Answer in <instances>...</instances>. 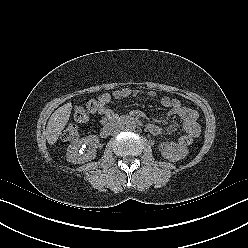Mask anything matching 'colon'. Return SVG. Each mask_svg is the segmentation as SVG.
<instances>
[{
	"label": "colon",
	"mask_w": 248,
	"mask_h": 248,
	"mask_svg": "<svg viewBox=\"0 0 248 248\" xmlns=\"http://www.w3.org/2000/svg\"><path fill=\"white\" fill-rule=\"evenodd\" d=\"M99 100H90L86 105L76 106L74 109V119L77 122H86L90 116L96 113L99 109ZM79 137V128L76 124L70 123L62 133V139L65 141H74ZM194 139L190 136L183 135L178 139V143L183 146L190 145Z\"/></svg>",
	"instance_id": "colon-1"
}]
</instances>
